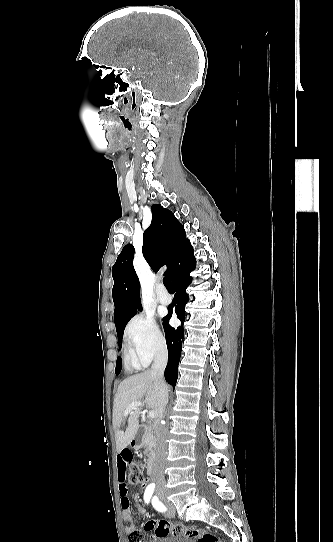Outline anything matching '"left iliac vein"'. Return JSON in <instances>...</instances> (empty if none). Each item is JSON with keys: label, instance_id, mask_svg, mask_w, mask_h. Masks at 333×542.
Masks as SVG:
<instances>
[{"label": "left iliac vein", "instance_id": "obj_1", "mask_svg": "<svg viewBox=\"0 0 333 542\" xmlns=\"http://www.w3.org/2000/svg\"><path fill=\"white\" fill-rule=\"evenodd\" d=\"M162 500L165 502L166 506L168 507V510L165 512V516L172 518L175 516V508L172 502L168 501L166 497H163Z\"/></svg>", "mask_w": 333, "mask_h": 542}]
</instances>
